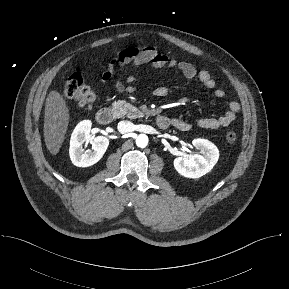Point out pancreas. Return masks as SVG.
Instances as JSON below:
<instances>
[{
  "label": "pancreas",
  "instance_id": "obj_1",
  "mask_svg": "<svg viewBox=\"0 0 289 289\" xmlns=\"http://www.w3.org/2000/svg\"><path fill=\"white\" fill-rule=\"evenodd\" d=\"M112 111L117 118L128 117L130 119L139 118L142 116L140 110L124 100H118L112 103Z\"/></svg>",
  "mask_w": 289,
  "mask_h": 289
}]
</instances>
